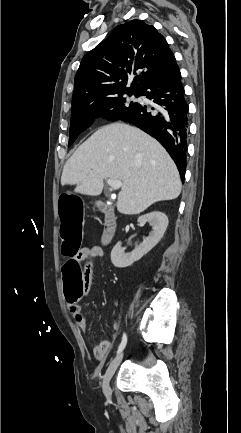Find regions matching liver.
Returning a JSON list of instances; mask_svg holds the SVG:
<instances>
[{
    "instance_id": "6515ba94",
    "label": "liver",
    "mask_w": 241,
    "mask_h": 433,
    "mask_svg": "<svg viewBox=\"0 0 241 433\" xmlns=\"http://www.w3.org/2000/svg\"><path fill=\"white\" fill-rule=\"evenodd\" d=\"M122 182L117 210L139 214L158 201L180 195L178 169L163 146L138 128L112 123L98 129L64 165L62 185L75 192L98 196L104 180Z\"/></svg>"
}]
</instances>
